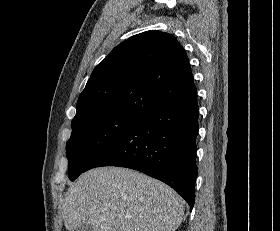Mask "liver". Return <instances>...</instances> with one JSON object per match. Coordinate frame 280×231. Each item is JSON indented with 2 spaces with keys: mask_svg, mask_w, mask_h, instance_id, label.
<instances>
[{
  "mask_svg": "<svg viewBox=\"0 0 280 231\" xmlns=\"http://www.w3.org/2000/svg\"><path fill=\"white\" fill-rule=\"evenodd\" d=\"M66 229L175 231L184 201L172 187L128 167H95L70 183L60 201Z\"/></svg>",
  "mask_w": 280,
  "mask_h": 231,
  "instance_id": "6515ba94",
  "label": "liver"
}]
</instances>
